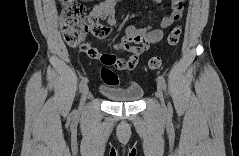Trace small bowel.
<instances>
[{
  "label": "small bowel",
  "mask_w": 239,
  "mask_h": 156,
  "mask_svg": "<svg viewBox=\"0 0 239 156\" xmlns=\"http://www.w3.org/2000/svg\"><path fill=\"white\" fill-rule=\"evenodd\" d=\"M119 5L118 0H104L98 2L92 9L90 21L91 32L101 40H108L111 37V29L99 23V19H104L109 26L117 23L116 10ZM184 4L181 0H172L171 12L164 16L160 22V28L149 26L138 27L129 25L125 29V35L114 47L124 50L127 58H117L111 53L98 52L94 48L93 53H86L89 57L100 60L105 66H114L118 70L131 71L139 61L140 56L148 50L151 44L158 43L163 38V30L178 21L183 14ZM134 43L135 45H132Z\"/></svg>",
  "instance_id": "1"
}]
</instances>
